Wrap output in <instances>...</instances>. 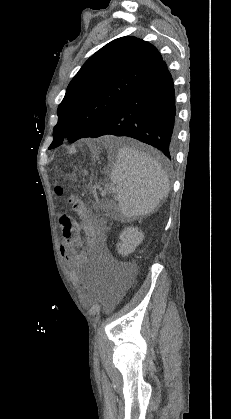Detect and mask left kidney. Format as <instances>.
Wrapping results in <instances>:
<instances>
[{
	"mask_svg": "<svg viewBox=\"0 0 231 419\" xmlns=\"http://www.w3.org/2000/svg\"><path fill=\"white\" fill-rule=\"evenodd\" d=\"M120 243L117 244L118 253L127 256L135 251V248L141 244L144 234L137 227H126L119 236Z\"/></svg>",
	"mask_w": 231,
	"mask_h": 419,
	"instance_id": "1",
	"label": "left kidney"
}]
</instances>
